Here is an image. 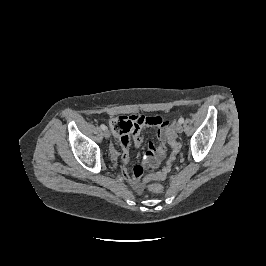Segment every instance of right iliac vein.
Segmentation results:
<instances>
[{
    "instance_id": "right-iliac-vein-1",
    "label": "right iliac vein",
    "mask_w": 266,
    "mask_h": 266,
    "mask_svg": "<svg viewBox=\"0 0 266 266\" xmlns=\"http://www.w3.org/2000/svg\"><path fill=\"white\" fill-rule=\"evenodd\" d=\"M103 135L105 138H109L111 134H110L109 130L105 129L103 132Z\"/></svg>"
}]
</instances>
